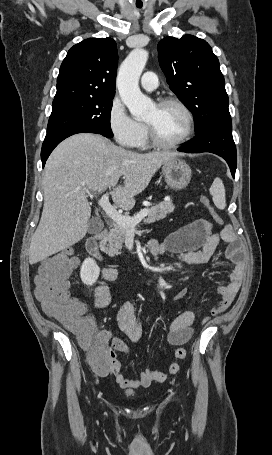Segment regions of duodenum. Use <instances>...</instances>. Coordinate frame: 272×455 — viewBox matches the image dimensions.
<instances>
[{
  "label": "duodenum",
  "instance_id": "410a0bca",
  "mask_svg": "<svg viewBox=\"0 0 272 455\" xmlns=\"http://www.w3.org/2000/svg\"><path fill=\"white\" fill-rule=\"evenodd\" d=\"M108 230L106 228L101 229L97 233L90 236L86 242L88 252L99 259L104 261V254L102 250V244L107 236Z\"/></svg>",
  "mask_w": 272,
  "mask_h": 455
}]
</instances>
